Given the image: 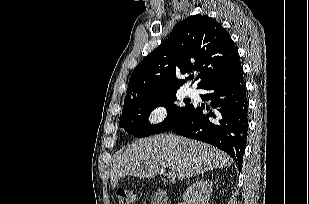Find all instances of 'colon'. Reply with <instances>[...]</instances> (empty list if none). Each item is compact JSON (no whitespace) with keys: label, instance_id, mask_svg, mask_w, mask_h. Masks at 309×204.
I'll return each instance as SVG.
<instances>
[{"label":"colon","instance_id":"colon-1","mask_svg":"<svg viewBox=\"0 0 309 204\" xmlns=\"http://www.w3.org/2000/svg\"><path fill=\"white\" fill-rule=\"evenodd\" d=\"M116 197L119 204H133L137 199L136 192L128 188L118 189L116 191Z\"/></svg>","mask_w":309,"mask_h":204}]
</instances>
